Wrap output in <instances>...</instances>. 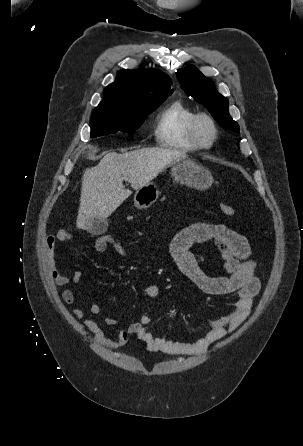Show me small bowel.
Wrapping results in <instances>:
<instances>
[{
    "label": "small bowel",
    "mask_w": 303,
    "mask_h": 446,
    "mask_svg": "<svg viewBox=\"0 0 303 446\" xmlns=\"http://www.w3.org/2000/svg\"><path fill=\"white\" fill-rule=\"evenodd\" d=\"M74 240L72 228L60 229L56 234L46 236L45 261L53 282L64 287L73 282L79 287H84V277L81 271L74 272L72 278L62 274L56 267L55 250L60 242ZM214 242L221 253L223 267L227 273L225 276L208 275L199 265L192 248L197 244ZM98 253L113 249L123 258L128 257L126 248L116 239L108 241L105 236L97 237L93 244ZM170 253L183 275L200 291L209 295H234L235 301L229 313L209 321L206 334L194 342H179L157 336L147 330L152 317L144 313L138 321L132 323L127 329L118 331L113 337L105 336L100 325L91 319L83 322V327L95 334L96 341L109 348L124 346L131 337H136L151 351L161 352L177 356H193L205 352L213 343L225 335L235 331L251 312L253 299L260 289V281L256 276L257 264L250 259L251 248L248 240L243 235L223 224L194 223L177 233L171 239ZM161 289L157 284H151L145 289V295L149 299H155L160 295ZM61 297L66 304L75 302L74 292L66 288ZM89 311L99 314V305L89 295ZM72 314L77 319L86 315L84 308H74ZM108 325H116L117 320L106 318Z\"/></svg>",
    "instance_id": "c3829d8e"
}]
</instances>
